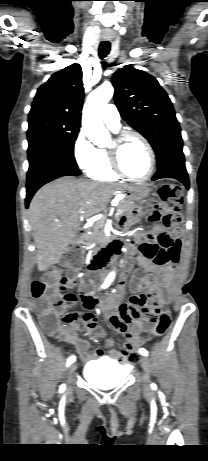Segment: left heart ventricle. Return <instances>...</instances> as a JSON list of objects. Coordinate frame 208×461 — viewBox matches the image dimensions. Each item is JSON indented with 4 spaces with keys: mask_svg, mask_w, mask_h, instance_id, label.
Listing matches in <instances>:
<instances>
[{
    "mask_svg": "<svg viewBox=\"0 0 208 461\" xmlns=\"http://www.w3.org/2000/svg\"><path fill=\"white\" fill-rule=\"evenodd\" d=\"M113 145V141L110 146ZM120 162L125 172L134 177H143L150 166V158L144 144L136 137L127 139L120 150Z\"/></svg>",
    "mask_w": 208,
    "mask_h": 461,
    "instance_id": "obj_1",
    "label": "left heart ventricle"
}]
</instances>
